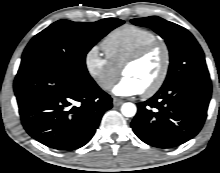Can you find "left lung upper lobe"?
Returning a JSON list of instances; mask_svg holds the SVG:
<instances>
[{
  "instance_id": "obj_1",
  "label": "left lung upper lobe",
  "mask_w": 220,
  "mask_h": 173,
  "mask_svg": "<svg viewBox=\"0 0 220 173\" xmlns=\"http://www.w3.org/2000/svg\"><path fill=\"white\" fill-rule=\"evenodd\" d=\"M131 22L153 29L166 41L170 66L162 87L186 80L210 79L204 53L188 30L157 16L132 19Z\"/></svg>"
}]
</instances>
